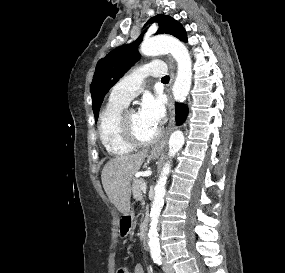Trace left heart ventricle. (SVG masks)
I'll return each mask as SVG.
<instances>
[{"mask_svg": "<svg viewBox=\"0 0 285 273\" xmlns=\"http://www.w3.org/2000/svg\"><path fill=\"white\" fill-rule=\"evenodd\" d=\"M127 120L135 134L142 140L151 139L158 131L157 127L144 122L139 117L138 112L130 111L127 115Z\"/></svg>", "mask_w": 285, "mask_h": 273, "instance_id": "left-heart-ventricle-1", "label": "left heart ventricle"}]
</instances>
